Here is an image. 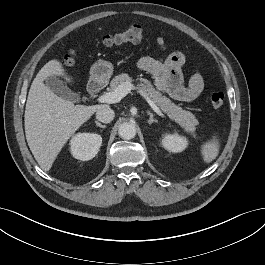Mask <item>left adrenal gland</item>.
<instances>
[{"label": "left adrenal gland", "instance_id": "left-adrenal-gland-1", "mask_svg": "<svg viewBox=\"0 0 265 265\" xmlns=\"http://www.w3.org/2000/svg\"><path fill=\"white\" fill-rule=\"evenodd\" d=\"M147 114L150 116L149 117V120H148V123L151 125L152 123H157V120L156 119H154V117H153V114L151 113V112H147Z\"/></svg>", "mask_w": 265, "mask_h": 265}]
</instances>
